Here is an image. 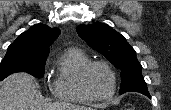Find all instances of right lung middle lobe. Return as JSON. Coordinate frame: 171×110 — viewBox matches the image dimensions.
I'll list each match as a JSON object with an SVG mask.
<instances>
[{
	"label": "right lung middle lobe",
	"instance_id": "right-lung-middle-lobe-1",
	"mask_svg": "<svg viewBox=\"0 0 171 110\" xmlns=\"http://www.w3.org/2000/svg\"><path fill=\"white\" fill-rule=\"evenodd\" d=\"M47 56L29 55L20 50L8 48L0 63V81L15 72H27L37 78H42Z\"/></svg>",
	"mask_w": 171,
	"mask_h": 110
}]
</instances>
